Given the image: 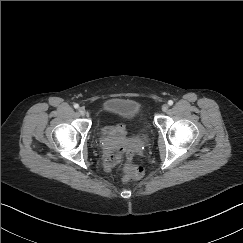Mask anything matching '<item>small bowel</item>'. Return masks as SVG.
Here are the masks:
<instances>
[{
  "label": "small bowel",
  "mask_w": 243,
  "mask_h": 243,
  "mask_svg": "<svg viewBox=\"0 0 243 243\" xmlns=\"http://www.w3.org/2000/svg\"><path fill=\"white\" fill-rule=\"evenodd\" d=\"M105 131L109 132L110 134H117L118 138L111 140L105 139L103 144L105 146V158L103 161V167L107 172H111L117 163L116 157L112 154L114 146L116 144H120L122 141V137L125 136L126 130L123 126H108L105 128Z\"/></svg>",
  "instance_id": "small-bowel-1"
}]
</instances>
